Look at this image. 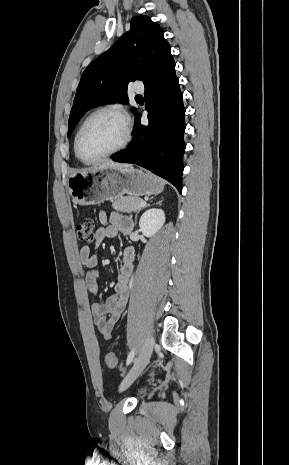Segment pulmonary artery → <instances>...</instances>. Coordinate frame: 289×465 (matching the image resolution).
I'll return each instance as SVG.
<instances>
[{
  "mask_svg": "<svg viewBox=\"0 0 289 465\" xmlns=\"http://www.w3.org/2000/svg\"><path fill=\"white\" fill-rule=\"evenodd\" d=\"M133 89L137 93H142L144 91V86L141 83H135Z\"/></svg>",
  "mask_w": 289,
  "mask_h": 465,
  "instance_id": "obj_1",
  "label": "pulmonary artery"
}]
</instances>
